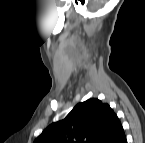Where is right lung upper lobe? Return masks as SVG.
<instances>
[{"label": "right lung upper lobe", "mask_w": 145, "mask_h": 143, "mask_svg": "<svg viewBox=\"0 0 145 143\" xmlns=\"http://www.w3.org/2000/svg\"><path fill=\"white\" fill-rule=\"evenodd\" d=\"M123 127L106 103L89 99L52 123L34 143H126Z\"/></svg>", "instance_id": "cb5924a9"}]
</instances>
